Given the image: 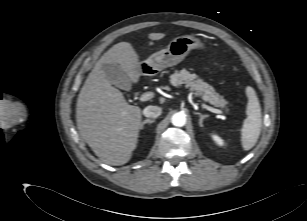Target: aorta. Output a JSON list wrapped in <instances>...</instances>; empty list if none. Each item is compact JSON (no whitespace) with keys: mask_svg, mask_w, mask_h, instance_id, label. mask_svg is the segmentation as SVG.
<instances>
[{"mask_svg":"<svg viewBox=\"0 0 307 221\" xmlns=\"http://www.w3.org/2000/svg\"><path fill=\"white\" fill-rule=\"evenodd\" d=\"M171 122L174 126L182 127L186 124L185 114L178 112L172 115Z\"/></svg>","mask_w":307,"mask_h":221,"instance_id":"762f6f07","label":"aorta"}]
</instances>
